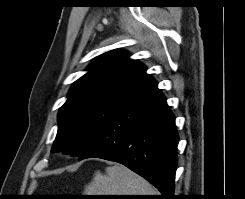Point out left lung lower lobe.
<instances>
[{
	"label": "left lung lower lobe",
	"instance_id": "0a47b994",
	"mask_svg": "<svg viewBox=\"0 0 245 199\" xmlns=\"http://www.w3.org/2000/svg\"><path fill=\"white\" fill-rule=\"evenodd\" d=\"M175 118L154 81L103 125L79 156L121 163L172 199L177 166Z\"/></svg>",
	"mask_w": 245,
	"mask_h": 199
}]
</instances>
